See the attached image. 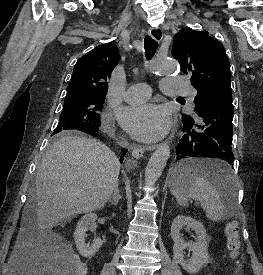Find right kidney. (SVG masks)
I'll return each mask as SVG.
<instances>
[{
  "label": "right kidney",
  "mask_w": 263,
  "mask_h": 275,
  "mask_svg": "<svg viewBox=\"0 0 263 275\" xmlns=\"http://www.w3.org/2000/svg\"><path fill=\"white\" fill-rule=\"evenodd\" d=\"M97 215L88 213L84 215L77 223L74 232V240L79 254L83 257H92L102 246L101 238H95L93 244L89 245L85 242V235L88 229L95 228Z\"/></svg>",
  "instance_id": "right-kidney-1"
}]
</instances>
